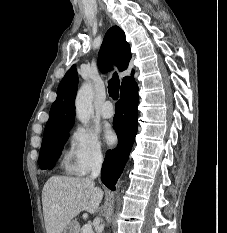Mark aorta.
<instances>
[{"label":"aorta","mask_w":227,"mask_h":233,"mask_svg":"<svg viewBox=\"0 0 227 233\" xmlns=\"http://www.w3.org/2000/svg\"><path fill=\"white\" fill-rule=\"evenodd\" d=\"M92 100V86L89 83H84L77 93L75 106L78 120L85 125L93 114Z\"/></svg>","instance_id":"762f6f07"}]
</instances>
